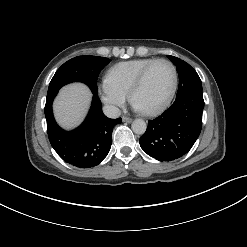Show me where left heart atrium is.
I'll return each instance as SVG.
<instances>
[{
  "label": "left heart atrium",
  "mask_w": 247,
  "mask_h": 247,
  "mask_svg": "<svg viewBox=\"0 0 247 247\" xmlns=\"http://www.w3.org/2000/svg\"><path fill=\"white\" fill-rule=\"evenodd\" d=\"M134 108L137 110V111H142L137 105L134 104Z\"/></svg>",
  "instance_id": "1"
}]
</instances>
